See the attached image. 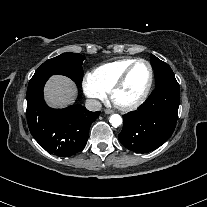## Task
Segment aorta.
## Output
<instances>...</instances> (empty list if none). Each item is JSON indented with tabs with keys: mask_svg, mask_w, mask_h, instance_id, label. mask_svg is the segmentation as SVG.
Listing matches in <instances>:
<instances>
[{
	"mask_svg": "<svg viewBox=\"0 0 207 207\" xmlns=\"http://www.w3.org/2000/svg\"><path fill=\"white\" fill-rule=\"evenodd\" d=\"M109 121L113 127H118L122 124V118L119 114L111 115Z\"/></svg>",
	"mask_w": 207,
	"mask_h": 207,
	"instance_id": "obj_1",
	"label": "aorta"
}]
</instances>
